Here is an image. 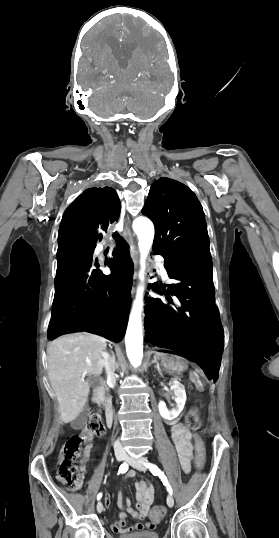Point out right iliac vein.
Returning <instances> with one entry per match:
<instances>
[{
    "label": "right iliac vein",
    "instance_id": "63e3f726",
    "mask_svg": "<svg viewBox=\"0 0 279 538\" xmlns=\"http://www.w3.org/2000/svg\"><path fill=\"white\" fill-rule=\"evenodd\" d=\"M116 459H117L118 461H123V460L125 459V453H123V452H117V453H116ZM102 510H103V505H102V502L99 501L98 504H97V511H98V513H101Z\"/></svg>",
    "mask_w": 279,
    "mask_h": 538
}]
</instances>
